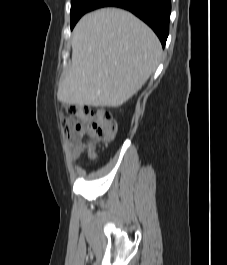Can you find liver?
I'll use <instances>...</instances> for the list:
<instances>
[{"mask_svg": "<svg viewBox=\"0 0 227 265\" xmlns=\"http://www.w3.org/2000/svg\"><path fill=\"white\" fill-rule=\"evenodd\" d=\"M161 54L158 37L131 13H88L73 30L72 63L57 97L64 104L118 107L142 88Z\"/></svg>", "mask_w": 227, "mask_h": 265, "instance_id": "6515ba94", "label": "liver"}]
</instances>
